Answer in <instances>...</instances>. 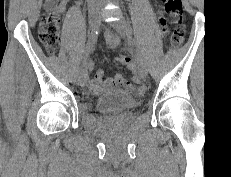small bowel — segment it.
I'll list each match as a JSON object with an SVG mask.
<instances>
[{
	"label": "small bowel",
	"mask_w": 231,
	"mask_h": 177,
	"mask_svg": "<svg viewBox=\"0 0 231 177\" xmlns=\"http://www.w3.org/2000/svg\"><path fill=\"white\" fill-rule=\"evenodd\" d=\"M55 8L59 13H62L66 8V3L68 0H56ZM107 42L111 47H114L118 43V38L107 35ZM129 69L135 71L136 67L134 63H129L126 65ZM89 89L92 93L98 94L103 91L113 89V88H126L127 90H134L135 86L128 82L121 74H116L113 77H106L103 70H98L92 80L89 81Z\"/></svg>",
	"instance_id": "small-bowel-1"
}]
</instances>
